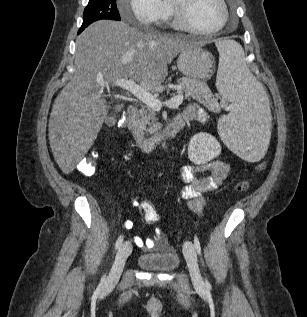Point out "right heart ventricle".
Listing matches in <instances>:
<instances>
[{
  "mask_svg": "<svg viewBox=\"0 0 307 317\" xmlns=\"http://www.w3.org/2000/svg\"><path fill=\"white\" fill-rule=\"evenodd\" d=\"M164 6H165V17H164L163 21H170L172 15H171V10H170L168 0L164 1Z\"/></svg>",
  "mask_w": 307,
  "mask_h": 317,
  "instance_id": "1",
  "label": "right heart ventricle"
}]
</instances>
